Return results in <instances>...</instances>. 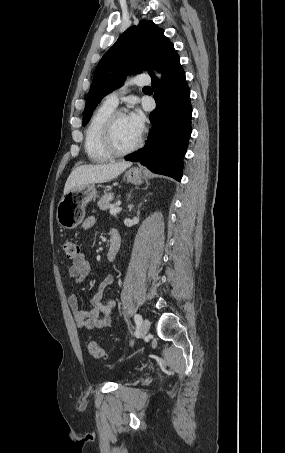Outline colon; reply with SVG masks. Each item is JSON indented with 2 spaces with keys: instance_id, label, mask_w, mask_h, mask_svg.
Instances as JSON below:
<instances>
[{
  "instance_id": "5ec220e1",
  "label": "colon",
  "mask_w": 285,
  "mask_h": 453,
  "mask_svg": "<svg viewBox=\"0 0 285 453\" xmlns=\"http://www.w3.org/2000/svg\"><path fill=\"white\" fill-rule=\"evenodd\" d=\"M62 249L68 260H76L81 254L80 245L72 238H67L62 243ZM89 354L96 359H107L108 355L96 342L90 341L87 345Z\"/></svg>"
}]
</instances>
